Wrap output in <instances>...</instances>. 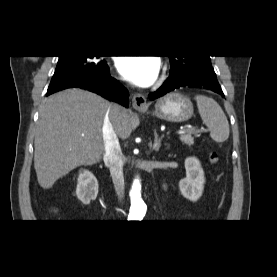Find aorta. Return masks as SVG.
Returning <instances> with one entry per match:
<instances>
[{"label":"aorta","instance_id":"762f6f07","mask_svg":"<svg viewBox=\"0 0 277 277\" xmlns=\"http://www.w3.org/2000/svg\"><path fill=\"white\" fill-rule=\"evenodd\" d=\"M129 195L131 200L129 219L141 220L146 213V204L141 198V183L139 178L133 181Z\"/></svg>","mask_w":277,"mask_h":277}]
</instances>
